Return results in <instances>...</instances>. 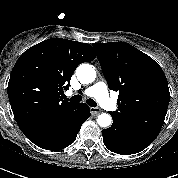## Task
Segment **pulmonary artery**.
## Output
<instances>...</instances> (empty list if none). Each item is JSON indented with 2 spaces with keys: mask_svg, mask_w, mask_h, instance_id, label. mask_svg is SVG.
<instances>
[{
  "mask_svg": "<svg viewBox=\"0 0 178 178\" xmlns=\"http://www.w3.org/2000/svg\"><path fill=\"white\" fill-rule=\"evenodd\" d=\"M84 94L97 99L105 109L113 110L116 107L113 101L109 98L107 85L102 81L87 88L84 91Z\"/></svg>",
  "mask_w": 178,
  "mask_h": 178,
  "instance_id": "obj_1",
  "label": "pulmonary artery"
}]
</instances>
